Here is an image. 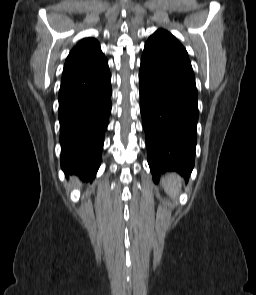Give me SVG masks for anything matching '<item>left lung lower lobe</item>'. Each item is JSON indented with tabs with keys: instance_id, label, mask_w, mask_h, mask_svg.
<instances>
[{
	"instance_id": "0a47b994",
	"label": "left lung lower lobe",
	"mask_w": 256,
	"mask_h": 295,
	"mask_svg": "<svg viewBox=\"0 0 256 295\" xmlns=\"http://www.w3.org/2000/svg\"><path fill=\"white\" fill-rule=\"evenodd\" d=\"M140 111L154 181L165 171L186 180L194 167L198 95L195 85L141 64Z\"/></svg>"
}]
</instances>
